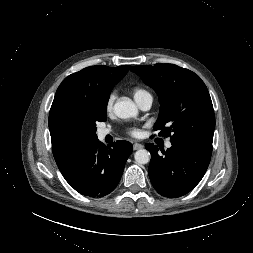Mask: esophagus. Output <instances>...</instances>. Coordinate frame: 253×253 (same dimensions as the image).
Here are the masks:
<instances>
[{
  "mask_svg": "<svg viewBox=\"0 0 253 253\" xmlns=\"http://www.w3.org/2000/svg\"><path fill=\"white\" fill-rule=\"evenodd\" d=\"M141 148H143V145H142V144H139V143H134V144H133V149H134V150H139V149H141Z\"/></svg>",
  "mask_w": 253,
  "mask_h": 253,
  "instance_id": "1",
  "label": "esophagus"
}]
</instances>
